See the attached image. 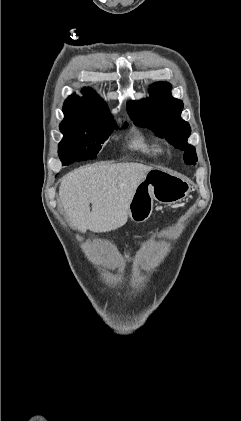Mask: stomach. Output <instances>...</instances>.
Segmentation results:
<instances>
[{"label":"stomach","mask_w":241,"mask_h":421,"mask_svg":"<svg viewBox=\"0 0 241 421\" xmlns=\"http://www.w3.org/2000/svg\"><path fill=\"white\" fill-rule=\"evenodd\" d=\"M190 189L186 178L163 168H153L138 184L127 216L134 222H145L152 214L154 200L167 205L176 204L188 196Z\"/></svg>","instance_id":"0dacf381"}]
</instances>
